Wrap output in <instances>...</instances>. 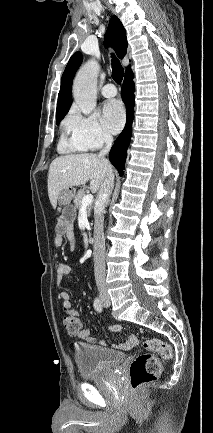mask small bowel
<instances>
[{
  "label": "small bowel",
  "mask_w": 213,
  "mask_h": 433,
  "mask_svg": "<svg viewBox=\"0 0 213 433\" xmlns=\"http://www.w3.org/2000/svg\"><path fill=\"white\" fill-rule=\"evenodd\" d=\"M65 239L68 241L70 250L73 251L76 247L77 240L74 233L73 217L71 214H65L57 221L55 227L54 246L56 248H61ZM71 272L72 266L70 263L65 261L60 262L56 269V279L58 284H64ZM59 297L62 300V308L65 313L77 312L72 308V303L68 292L61 291L59 293ZM78 337L88 342H95L96 340L91 336V331L89 328L81 329L78 333ZM137 343V338L135 336H131L128 340L118 345V347L121 349H130L137 345Z\"/></svg>",
  "instance_id": "small-bowel-1"
}]
</instances>
